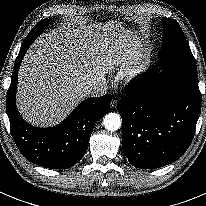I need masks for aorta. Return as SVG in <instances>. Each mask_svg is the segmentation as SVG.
Wrapping results in <instances>:
<instances>
[{
  "mask_svg": "<svg viewBox=\"0 0 206 206\" xmlns=\"http://www.w3.org/2000/svg\"><path fill=\"white\" fill-rule=\"evenodd\" d=\"M103 125L105 129L109 131H116L121 126V118L117 113H108L103 120Z\"/></svg>",
  "mask_w": 206,
  "mask_h": 206,
  "instance_id": "1",
  "label": "aorta"
}]
</instances>
